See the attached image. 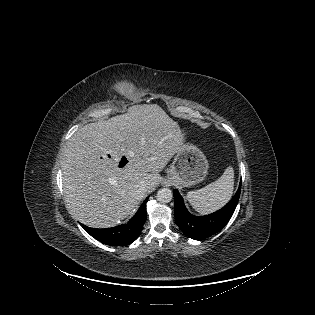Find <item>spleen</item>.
Returning a JSON list of instances; mask_svg holds the SVG:
<instances>
[{
	"mask_svg": "<svg viewBox=\"0 0 315 315\" xmlns=\"http://www.w3.org/2000/svg\"><path fill=\"white\" fill-rule=\"evenodd\" d=\"M234 189V170L227 167L223 175L209 185L187 193V200L200 214L212 213L223 207L231 198Z\"/></svg>",
	"mask_w": 315,
	"mask_h": 315,
	"instance_id": "spleen-1",
	"label": "spleen"
}]
</instances>
